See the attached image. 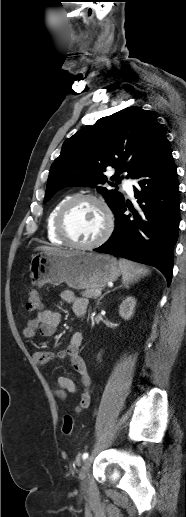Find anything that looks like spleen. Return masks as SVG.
<instances>
[{
    "instance_id": "spleen-1",
    "label": "spleen",
    "mask_w": 186,
    "mask_h": 517,
    "mask_svg": "<svg viewBox=\"0 0 186 517\" xmlns=\"http://www.w3.org/2000/svg\"><path fill=\"white\" fill-rule=\"evenodd\" d=\"M118 264L125 285L137 282L141 277L148 275L150 272L146 267L126 259H120Z\"/></svg>"
}]
</instances>
